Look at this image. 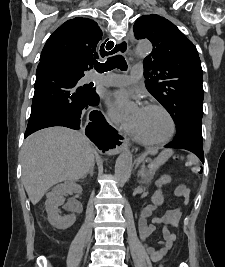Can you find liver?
<instances>
[{"instance_id": "1", "label": "liver", "mask_w": 225, "mask_h": 267, "mask_svg": "<svg viewBox=\"0 0 225 267\" xmlns=\"http://www.w3.org/2000/svg\"><path fill=\"white\" fill-rule=\"evenodd\" d=\"M95 149L83 134L51 127L30 135L22 147V181L36 205L55 184L83 178L94 163Z\"/></svg>"}]
</instances>
